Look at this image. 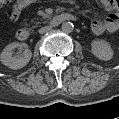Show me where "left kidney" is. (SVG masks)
<instances>
[{"mask_svg":"<svg viewBox=\"0 0 119 119\" xmlns=\"http://www.w3.org/2000/svg\"><path fill=\"white\" fill-rule=\"evenodd\" d=\"M91 52L100 60H110L113 57L111 46L105 40H93L91 43Z\"/></svg>","mask_w":119,"mask_h":119,"instance_id":"5707ae66","label":"left kidney"}]
</instances>
